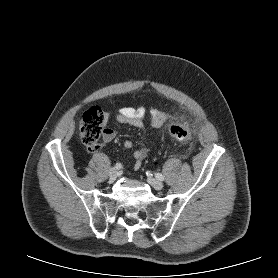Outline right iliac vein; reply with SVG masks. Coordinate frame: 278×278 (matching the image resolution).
I'll use <instances>...</instances> for the list:
<instances>
[{
  "mask_svg": "<svg viewBox=\"0 0 278 278\" xmlns=\"http://www.w3.org/2000/svg\"><path fill=\"white\" fill-rule=\"evenodd\" d=\"M118 176V171L116 168H111L109 171V177L111 181H114Z\"/></svg>",
  "mask_w": 278,
  "mask_h": 278,
  "instance_id": "1",
  "label": "right iliac vein"
}]
</instances>
